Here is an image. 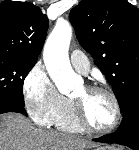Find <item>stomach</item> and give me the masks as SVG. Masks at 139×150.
<instances>
[{
  "label": "stomach",
  "instance_id": "stomach-1",
  "mask_svg": "<svg viewBox=\"0 0 139 150\" xmlns=\"http://www.w3.org/2000/svg\"><path fill=\"white\" fill-rule=\"evenodd\" d=\"M95 150H118L114 147H99V148H96Z\"/></svg>",
  "mask_w": 139,
  "mask_h": 150
}]
</instances>
